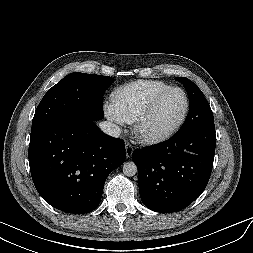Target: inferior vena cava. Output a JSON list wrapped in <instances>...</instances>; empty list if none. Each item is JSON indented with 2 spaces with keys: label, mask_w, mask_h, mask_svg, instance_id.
Returning a JSON list of instances; mask_svg holds the SVG:
<instances>
[{
  "label": "inferior vena cava",
  "mask_w": 253,
  "mask_h": 253,
  "mask_svg": "<svg viewBox=\"0 0 253 253\" xmlns=\"http://www.w3.org/2000/svg\"><path fill=\"white\" fill-rule=\"evenodd\" d=\"M99 127L102 132L115 138L119 137L121 134V129L119 126L109 121L101 122L99 124Z\"/></svg>",
  "instance_id": "1"
}]
</instances>
